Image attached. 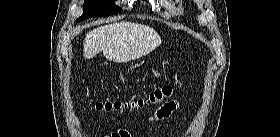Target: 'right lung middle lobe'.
<instances>
[{
	"label": "right lung middle lobe",
	"mask_w": 280,
	"mask_h": 137,
	"mask_svg": "<svg viewBox=\"0 0 280 137\" xmlns=\"http://www.w3.org/2000/svg\"><path fill=\"white\" fill-rule=\"evenodd\" d=\"M120 11L121 8L115 5V0H85L83 15L77 22L89 17H107Z\"/></svg>",
	"instance_id": "1"
}]
</instances>
